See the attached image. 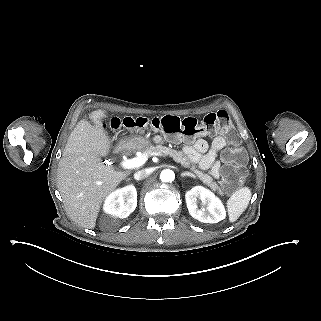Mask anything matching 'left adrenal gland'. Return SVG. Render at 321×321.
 <instances>
[{
  "mask_svg": "<svg viewBox=\"0 0 321 321\" xmlns=\"http://www.w3.org/2000/svg\"><path fill=\"white\" fill-rule=\"evenodd\" d=\"M180 176L181 177H186L187 176V177L195 178V176L190 172H183V173H181Z\"/></svg>",
  "mask_w": 321,
  "mask_h": 321,
  "instance_id": "1",
  "label": "left adrenal gland"
}]
</instances>
